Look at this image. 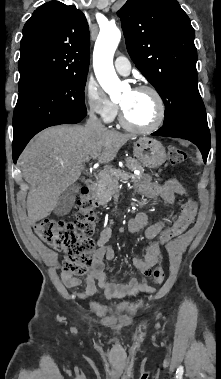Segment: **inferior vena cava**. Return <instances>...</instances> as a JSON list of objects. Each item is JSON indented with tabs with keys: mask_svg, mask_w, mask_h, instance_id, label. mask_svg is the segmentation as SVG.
I'll return each instance as SVG.
<instances>
[{
	"mask_svg": "<svg viewBox=\"0 0 221 379\" xmlns=\"http://www.w3.org/2000/svg\"><path fill=\"white\" fill-rule=\"evenodd\" d=\"M86 127L95 130H105V126L101 123L93 111L90 113Z\"/></svg>",
	"mask_w": 221,
	"mask_h": 379,
	"instance_id": "inferior-vena-cava-1",
	"label": "inferior vena cava"
}]
</instances>
